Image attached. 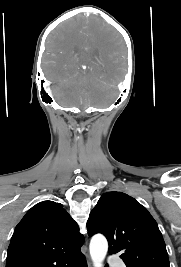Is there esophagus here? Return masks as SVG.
I'll list each match as a JSON object with an SVG mask.
<instances>
[{
	"label": "esophagus",
	"instance_id": "34e87169",
	"mask_svg": "<svg viewBox=\"0 0 181 267\" xmlns=\"http://www.w3.org/2000/svg\"><path fill=\"white\" fill-rule=\"evenodd\" d=\"M88 266H89V267L91 266V263H90V262H88Z\"/></svg>",
	"mask_w": 181,
	"mask_h": 267
}]
</instances>
